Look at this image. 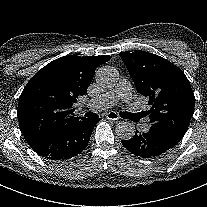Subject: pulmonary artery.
Wrapping results in <instances>:
<instances>
[{
	"label": "pulmonary artery",
	"mask_w": 207,
	"mask_h": 207,
	"mask_svg": "<svg viewBox=\"0 0 207 207\" xmlns=\"http://www.w3.org/2000/svg\"><path fill=\"white\" fill-rule=\"evenodd\" d=\"M130 99V89L129 83L126 81H120L119 85L113 90L102 94L100 97L96 99H91L89 101L88 106L91 108H97L99 110H104L112 107L117 103L118 100ZM149 128V124L145 122L143 124V129L146 131Z\"/></svg>",
	"instance_id": "obj_1"
}]
</instances>
